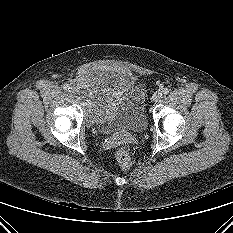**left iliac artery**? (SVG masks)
<instances>
[{"label":"left iliac artery","mask_w":233,"mask_h":233,"mask_svg":"<svg viewBox=\"0 0 233 233\" xmlns=\"http://www.w3.org/2000/svg\"><path fill=\"white\" fill-rule=\"evenodd\" d=\"M162 93H163L164 95H167V94L169 93V89H168V88H164V89L162 90Z\"/></svg>","instance_id":"44dca946"}]
</instances>
